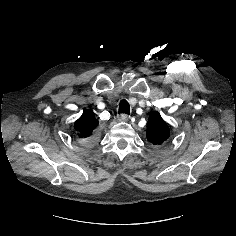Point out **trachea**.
Listing matches in <instances>:
<instances>
[{"instance_id": "3493384b", "label": "trachea", "mask_w": 236, "mask_h": 236, "mask_svg": "<svg viewBox=\"0 0 236 236\" xmlns=\"http://www.w3.org/2000/svg\"><path fill=\"white\" fill-rule=\"evenodd\" d=\"M119 114H130V106L126 100H121L119 103Z\"/></svg>"}]
</instances>
